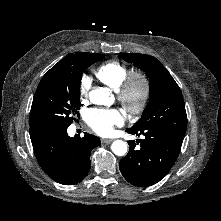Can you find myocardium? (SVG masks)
<instances>
[{
	"label": "myocardium",
	"instance_id": "myocardium-1",
	"mask_svg": "<svg viewBox=\"0 0 221 221\" xmlns=\"http://www.w3.org/2000/svg\"><path fill=\"white\" fill-rule=\"evenodd\" d=\"M116 93L125 111L129 115H138L146 108L150 99V79L142 71L130 72Z\"/></svg>",
	"mask_w": 221,
	"mask_h": 221
}]
</instances>
